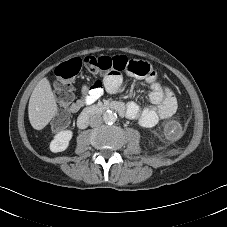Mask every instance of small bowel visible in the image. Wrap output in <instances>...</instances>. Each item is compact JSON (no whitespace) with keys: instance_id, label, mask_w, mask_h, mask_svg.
I'll list each match as a JSON object with an SVG mask.
<instances>
[{"instance_id":"small-bowel-1","label":"small bowel","mask_w":227,"mask_h":227,"mask_svg":"<svg viewBox=\"0 0 227 227\" xmlns=\"http://www.w3.org/2000/svg\"><path fill=\"white\" fill-rule=\"evenodd\" d=\"M150 86L149 102L150 105L141 109L135 102L127 104L126 115L129 119L138 120L144 128L154 127L160 120L170 118L177 109V99L174 93L162 87L156 80L155 75L142 77ZM107 90L111 94H118L123 89V80L120 76H110L104 80L103 87L89 86L81 87V97L68 106L70 111H77L79 108L94 103Z\"/></svg>"}]
</instances>
